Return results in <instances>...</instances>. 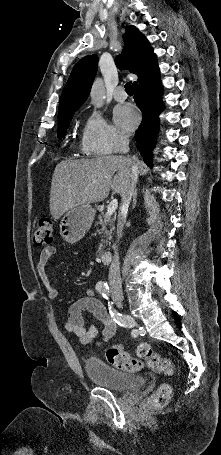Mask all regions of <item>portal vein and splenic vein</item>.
I'll return each mask as SVG.
<instances>
[{"mask_svg": "<svg viewBox=\"0 0 221 455\" xmlns=\"http://www.w3.org/2000/svg\"><path fill=\"white\" fill-rule=\"evenodd\" d=\"M117 207H118V201H117V199H113L107 207L106 216H111L113 213H115Z\"/></svg>", "mask_w": 221, "mask_h": 455, "instance_id": "portal-vein-and-splenic-vein-1", "label": "portal vein and splenic vein"}]
</instances>
